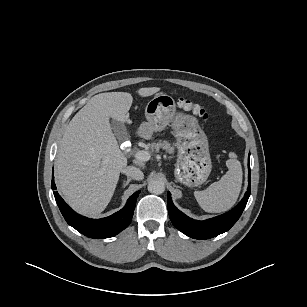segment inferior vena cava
I'll return each mask as SVG.
<instances>
[{
	"label": "inferior vena cava",
	"instance_id": "1",
	"mask_svg": "<svg viewBox=\"0 0 307 307\" xmlns=\"http://www.w3.org/2000/svg\"><path fill=\"white\" fill-rule=\"evenodd\" d=\"M121 172L136 180H142L144 178L143 172L135 166H127Z\"/></svg>",
	"mask_w": 307,
	"mask_h": 307
}]
</instances>
